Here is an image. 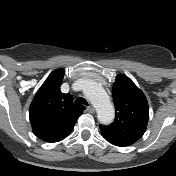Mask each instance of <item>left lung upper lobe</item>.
I'll use <instances>...</instances> for the list:
<instances>
[{
  "mask_svg": "<svg viewBox=\"0 0 176 176\" xmlns=\"http://www.w3.org/2000/svg\"><path fill=\"white\" fill-rule=\"evenodd\" d=\"M112 95L115 121L109 126H100V130L104 138L129 146L145 133L149 119L148 103L142 91L123 74L116 76Z\"/></svg>",
  "mask_w": 176,
  "mask_h": 176,
  "instance_id": "1",
  "label": "left lung upper lobe"
}]
</instances>
